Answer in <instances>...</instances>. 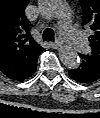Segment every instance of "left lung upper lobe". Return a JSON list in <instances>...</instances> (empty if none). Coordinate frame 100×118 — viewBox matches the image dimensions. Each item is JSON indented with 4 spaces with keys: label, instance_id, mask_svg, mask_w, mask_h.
Returning <instances> with one entry per match:
<instances>
[{
    "label": "left lung upper lobe",
    "instance_id": "left-lung-upper-lobe-1",
    "mask_svg": "<svg viewBox=\"0 0 100 118\" xmlns=\"http://www.w3.org/2000/svg\"><path fill=\"white\" fill-rule=\"evenodd\" d=\"M83 10V26L91 28L89 37L91 53L83 55L87 60L100 66V0H80Z\"/></svg>",
    "mask_w": 100,
    "mask_h": 118
}]
</instances>
